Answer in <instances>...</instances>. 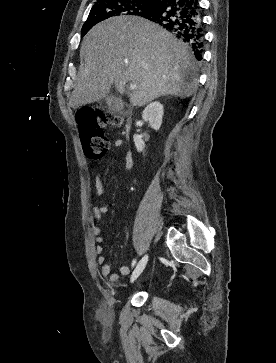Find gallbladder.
Listing matches in <instances>:
<instances>
[{"label":"gallbladder","mask_w":276,"mask_h":363,"mask_svg":"<svg viewBox=\"0 0 276 363\" xmlns=\"http://www.w3.org/2000/svg\"><path fill=\"white\" fill-rule=\"evenodd\" d=\"M102 102H105L108 109L113 112H119L123 109L122 100L112 94L108 95L104 100H101V103Z\"/></svg>","instance_id":"bac80fb5"}]
</instances>
